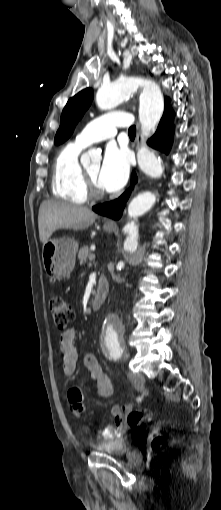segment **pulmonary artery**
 Instances as JSON below:
<instances>
[{"mask_svg": "<svg viewBox=\"0 0 221 510\" xmlns=\"http://www.w3.org/2000/svg\"><path fill=\"white\" fill-rule=\"evenodd\" d=\"M134 119L125 112H111L89 122L76 136V142L81 146H89L95 142L112 138L118 128L131 127Z\"/></svg>", "mask_w": 221, "mask_h": 510, "instance_id": "1", "label": "pulmonary artery"}]
</instances>
